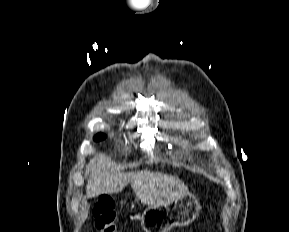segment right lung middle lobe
I'll return each mask as SVG.
<instances>
[{
    "mask_svg": "<svg viewBox=\"0 0 289 232\" xmlns=\"http://www.w3.org/2000/svg\"><path fill=\"white\" fill-rule=\"evenodd\" d=\"M106 138V135L105 134H102V133H99L97 134L96 136H94V140L95 141H100V140H103Z\"/></svg>",
    "mask_w": 289,
    "mask_h": 232,
    "instance_id": "1",
    "label": "right lung middle lobe"
}]
</instances>
